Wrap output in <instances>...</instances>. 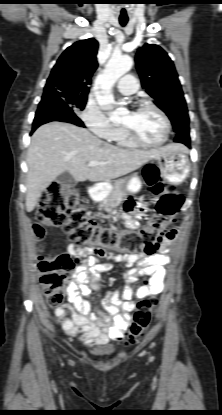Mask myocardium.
Returning <instances> with one entry per match:
<instances>
[{
	"mask_svg": "<svg viewBox=\"0 0 222 415\" xmlns=\"http://www.w3.org/2000/svg\"><path fill=\"white\" fill-rule=\"evenodd\" d=\"M143 108H151L155 110L163 119L164 124H165V134L162 140H160L159 142H154V143L147 142L141 139L132 127L122 124V128L124 129L129 139L138 146L146 147V148H156V147L165 145L167 141L169 140L170 133H171L172 125H171L170 118L159 106H157L156 104L150 101H147V100L139 101L135 107V110H140Z\"/></svg>",
	"mask_w": 222,
	"mask_h": 415,
	"instance_id": "obj_1",
	"label": "myocardium"
}]
</instances>
